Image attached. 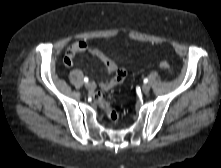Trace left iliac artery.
<instances>
[{
	"label": "left iliac artery",
	"mask_w": 221,
	"mask_h": 168,
	"mask_svg": "<svg viewBox=\"0 0 221 168\" xmlns=\"http://www.w3.org/2000/svg\"><path fill=\"white\" fill-rule=\"evenodd\" d=\"M147 82H148V79H147V78H145V79H144V83H147Z\"/></svg>",
	"instance_id": "44dca946"
}]
</instances>
